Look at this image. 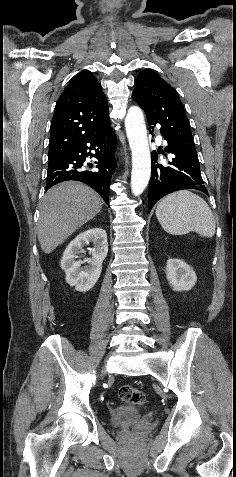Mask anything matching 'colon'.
I'll return each instance as SVG.
<instances>
[{
	"instance_id": "colon-1",
	"label": "colon",
	"mask_w": 236,
	"mask_h": 477,
	"mask_svg": "<svg viewBox=\"0 0 236 477\" xmlns=\"http://www.w3.org/2000/svg\"><path fill=\"white\" fill-rule=\"evenodd\" d=\"M118 393L120 399L126 403L141 405L145 402L144 394L132 385H123Z\"/></svg>"
}]
</instances>
